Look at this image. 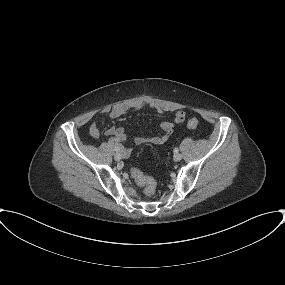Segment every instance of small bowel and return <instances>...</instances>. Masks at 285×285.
<instances>
[{
    "instance_id": "1",
    "label": "small bowel",
    "mask_w": 285,
    "mask_h": 285,
    "mask_svg": "<svg viewBox=\"0 0 285 285\" xmlns=\"http://www.w3.org/2000/svg\"><path fill=\"white\" fill-rule=\"evenodd\" d=\"M143 108H148L156 111L159 115H165V110L162 106L155 104L148 100H133L129 102L120 103L117 105L112 106L110 109H106L103 111V114L107 115L109 119L114 120L117 119L129 112L137 111ZM182 113L183 117L179 118V114ZM184 120V113L177 112L175 115V123H181ZM161 129L163 133L158 136H154L151 138H146L144 136H137L134 138V142L136 144H144L150 142L155 145H162L166 143L170 136L174 131V123L170 121H164L161 123ZM89 134L96 138L100 135V127L99 125L94 122L91 124L89 128ZM105 135L110 137L109 143L113 146L119 147L121 151L130 154V149L123 145L124 141L126 140V134L122 127L119 126H111L105 131Z\"/></svg>"
}]
</instances>
